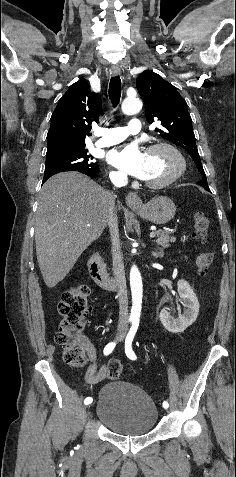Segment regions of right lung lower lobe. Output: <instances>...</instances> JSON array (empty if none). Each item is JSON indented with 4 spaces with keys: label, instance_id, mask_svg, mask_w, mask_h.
Returning <instances> with one entry per match:
<instances>
[{
    "label": "right lung lower lobe",
    "instance_id": "obj_1",
    "mask_svg": "<svg viewBox=\"0 0 236 477\" xmlns=\"http://www.w3.org/2000/svg\"><path fill=\"white\" fill-rule=\"evenodd\" d=\"M81 173H82V172H81ZM98 173H99V169H98L97 172L94 173V174H86V173H83V174H86V175H88V176H90V177H92V178H95ZM49 177H51V176H44V178H43V183H44Z\"/></svg>",
    "mask_w": 236,
    "mask_h": 477
}]
</instances>
